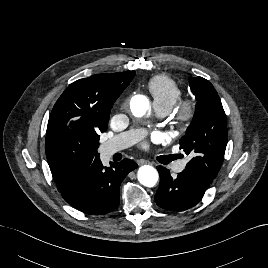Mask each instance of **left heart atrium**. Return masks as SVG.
Masks as SVG:
<instances>
[{
	"label": "left heart atrium",
	"instance_id": "obj_1",
	"mask_svg": "<svg viewBox=\"0 0 268 268\" xmlns=\"http://www.w3.org/2000/svg\"><path fill=\"white\" fill-rule=\"evenodd\" d=\"M155 136H156V137H158V136H159V134H158V133H156V134H155ZM144 146L146 147V145H144Z\"/></svg>",
	"mask_w": 268,
	"mask_h": 268
}]
</instances>
